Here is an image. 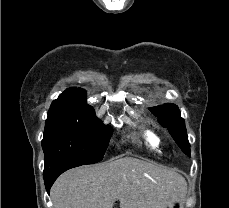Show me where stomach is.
Masks as SVG:
<instances>
[{
	"label": "stomach",
	"instance_id": "1",
	"mask_svg": "<svg viewBox=\"0 0 229 208\" xmlns=\"http://www.w3.org/2000/svg\"><path fill=\"white\" fill-rule=\"evenodd\" d=\"M183 204H184L183 196H174V200H172L168 208H183Z\"/></svg>",
	"mask_w": 229,
	"mask_h": 208
}]
</instances>
